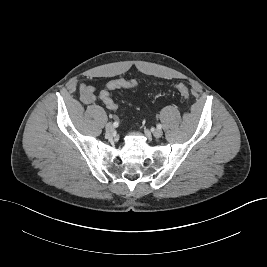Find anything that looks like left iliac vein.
<instances>
[{
  "mask_svg": "<svg viewBox=\"0 0 267 267\" xmlns=\"http://www.w3.org/2000/svg\"><path fill=\"white\" fill-rule=\"evenodd\" d=\"M162 131L160 130V129H155V130H153V136L155 137V138H160L161 136H162Z\"/></svg>",
  "mask_w": 267,
  "mask_h": 267,
  "instance_id": "4c4485c4",
  "label": "left iliac vein"
}]
</instances>
